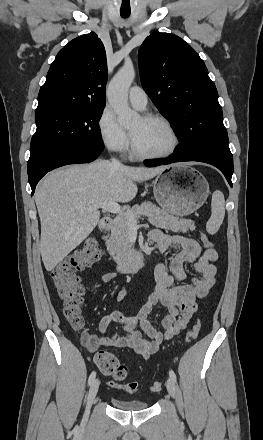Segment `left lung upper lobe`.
<instances>
[{
  "mask_svg": "<svg viewBox=\"0 0 263 440\" xmlns=\"http://www.w3.org/2000/svg\"><path fill=\"white\" fill-rule=\"evenodd\" d=\"M138 57L144 90L181 141L175 151L194 158L230 150L217 89L196 51L180 37L156 31Z\"/></svg>",
  "mask_w": 263,
  "mask_h": 440,
  "instance_id": "left-lung-upper-lobe-1",
  "label": "left lung upper lobe"
}]
</instances>
